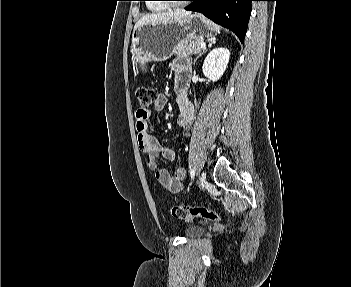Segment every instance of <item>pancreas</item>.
<instances>
[{"mask_svg":"<svg viewBox=\"0 0 351 287\" xmlns=\"http://www.w3.org/2000/svg\"><path fill=\"white\" fill-rule=\"evenodd\" d=\"M203 42L201 39H194L193 41H185L177 44L174 48V55L177 58L187 57L189 55L199 53L201 51L200 43Z\"/></svg>","mask_w":351,"mask_h":287,"instance_id":"pancreas-1","label":"pancreas"}]
</instances>
